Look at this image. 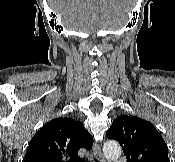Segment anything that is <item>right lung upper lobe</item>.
Segmentation results:
<instances>
[{
  "label": "right lung upper lobe",
  "instance_id": "right-lung-upper-lobe-1",
  "mask_svg": "<svg viewBox=\"0 0 175 162\" xmlns=\"http://www.w3.org/2000/svg\"><path fill=\"white\" fill-rule=\"evenodd\" d=\"M92 145L93 138L81 122L56 118L35 133L24 162H82L78 151Z\"/></svg>",
  "mask_w": 175,
  "mask_h": 162
}]
</instances>
